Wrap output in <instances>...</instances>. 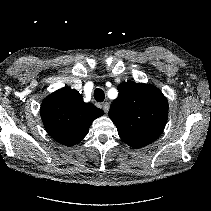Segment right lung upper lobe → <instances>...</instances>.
<instances>
[{"label":"right lung upper lobe","instance_id":"right-lung-upper-lobe-1","mask_svg":"<svg viewBox=\"0 0 211 211\" xmlns=\"http://www.w3.org/2000/svg\"><path fill=\"white\" fill-rule=\"evenodd\" d=\"M104 112L91 103H85L80 93L69 87L47 96L40 115L47 133L57 142L73 146L88 133L93 120Z\"/></svg>","mask_w":211,"mask_h":211}]
</instances>
